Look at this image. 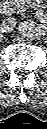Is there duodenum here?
<instances>
[{"instance_id":"1","label":"duodenum","mask_w":47,"mask_h":129,"mask_svg":"<svg viewBox=\"0 0 47 129\" xmlns=\"http://www.w3.org/2000/svg\"><path fill=\"white\" fill-rule=\"evenodd\" d=\"M1 12L7 16H11L14 13V6L10 0H4L2 2ZM36 15L38 18L43 19L45 17V12L38 9Z\"/></svg>"}]
</instances>
